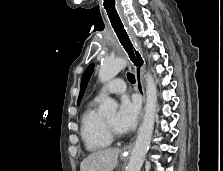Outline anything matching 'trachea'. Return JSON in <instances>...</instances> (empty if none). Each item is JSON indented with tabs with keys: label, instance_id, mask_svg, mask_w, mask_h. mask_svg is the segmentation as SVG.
Here are the masks:
<instances>
[{
	"label": "trachea",
	"instance_id": "1",
	"mask_svg": "<svg viewBox=\"0 0 223 171\" xmlns=\"http://www.w3.org/2000/svg\"><path fill=\"white\" fill-rule=\"evenodd\" d=\"M127 78L129 82L135 83V76L132 73H127Z\"/></svg>",
	"mask_w": 223,
	"mask_h": 171
}]
</instances>
